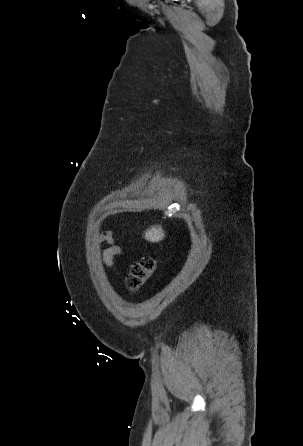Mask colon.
Segmentation results:
<instances>
[{
	"label": "colon",
	"mask_w": 303,
	"mask_h": 446,
	"mask_svg": "<svg viewBox=\"0 0 303 446\" xmlns=\"http://www.w3.org/2000/svg\"><path fill=\"white\" fill-rule=\"evenodd\" d=\"M157 262L154 258L144 257L133 263L127 277V284L131 290L139 288L156 270Z\"/></svg>",
	"instance_id": "obj_1"
}]
</instances>
